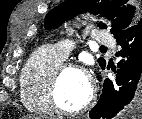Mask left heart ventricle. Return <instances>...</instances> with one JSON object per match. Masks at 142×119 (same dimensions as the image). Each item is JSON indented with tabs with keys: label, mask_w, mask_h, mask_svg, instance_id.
I'll return each instance as SVG.
<instances>
[{
	"label": "left heart ventricle",
	"mask_w": 142,
	"mask_h": 119,
	"mask_svg": "<svg viewBox=\"0 0 142 119\" xmlns=\"http://www.w3.org/2000/svg\"><path fill=\"white\" fill-rule=\"evenodd\" d=\"M90 86L88 77L80 71H67L58 89V101L66 109H75L88 98Z\"/></svg>",
	"instance_id": "obj_1"
}]
</instances>
